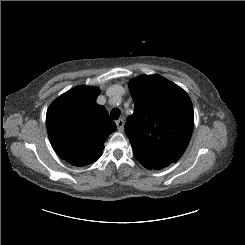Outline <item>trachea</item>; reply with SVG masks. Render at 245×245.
I'll list each match as a JSON object with an SVG mask.
<instances>
[{
	"mask_svg": "<svg viewBox=\"0 0 245 245\" xmlns=\"http://www.w3.org/2000/svg\"><path fill=\"white\" fill-rule=\"evenodd\" d=\"M112 119L117 120L121 115V111L118 108H114L110 112Z\"/></svg>",
	"mask_w": 245,
	"mask_h": 245,
	"instance_id": "1",
	"label": "trachea"
}]
</instances>
